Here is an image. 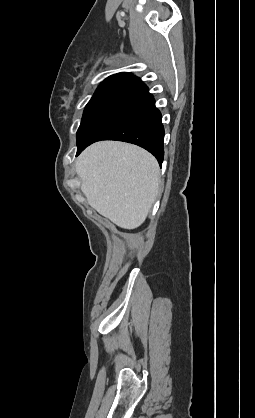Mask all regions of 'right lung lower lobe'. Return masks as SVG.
Returning a JSON list of instances; mask_svg holds the SVG:
<instances>
[{
  "mask_svg": "<svg viewBox=\"0 0 255 418\" xmlns=\"http://www.w3.org/2000/svg\"><path fill=\"white\" fill-rule=\"evenodd\" d=\"M161 113L147 86L136 83L111 98L93 117L77 141V155L100 140H118L136 144L163 162L164 127Z\"/></svg>",
  "mask_w": 255,
  "mask_h": 418,
  "instance_id": "right-lung-lower-lobe-1",
  "label": "right lung lower lobe"
}]
</instances>
